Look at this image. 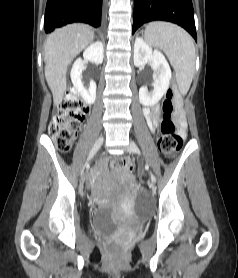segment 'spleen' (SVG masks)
Instances as JSON below:
<instances>
[{"label": "spleen", "instance_id": "spleen-1", "mask_svg": "<svg viewBox=\"0 0 238 278\" xmlns=\"http://www.w3.org/2000/svg\"><path fill=\"white\" fill-rule=\"evenodd\" d=\"M149 46L161 49L175 70L179 91L187 93L195 72L196 52L192 37L181 27L167 22H152L145 29Z\"/></svg>", "mask_w": 238, "mask_h": 278}]
</instances>
